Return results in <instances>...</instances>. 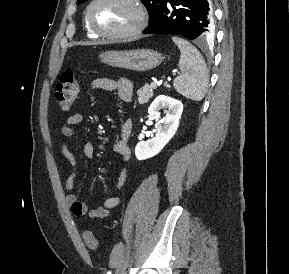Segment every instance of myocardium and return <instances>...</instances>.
<instances>
[{
	"label": "myocardium",
	"instance_id": "f54148a6",
	"mask_svg": "<svg viewBox=\"0 0 289 274\" xmlns=\"http://www.w3.org/2000/svg\"><path fill=\"white\" fill-rule=\"evenodd\" d=\"M101 0H92L86 9L85 14V21L89 27V29L97 36L107 38V39H113V40H124L129 39L132 37H135L139 33L143 31V29L146 26L147 23V11L145 9V6L140 0H125L129 4H131L135 11H136V21L135 23L128 29L119 31V32H105L100 29H98L92 21L91 18V11L95 4L100 2Z\"/></svg>",
	"mask_w": 289,
	"mask_h": 274
}]
</instances>
